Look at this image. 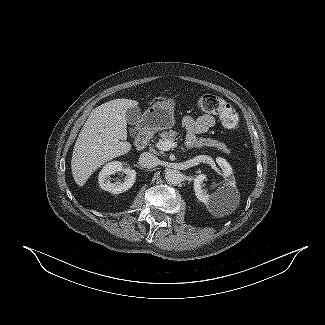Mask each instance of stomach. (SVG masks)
<instances>
[{"instance_id": "0dacf381", "label": "stomach", "mask_w": 325, "mask_h": 325, "mask_svg": "<svg viewBox=\"0 0 325 325\" xmlns=\"http://www.w3.org/2000/svg\"><path fill=\"white\" fill-rule=\"evenodd\" d=\"M174 99L168 98L155 102L142 118L144 125L152 130H164L174 125Z\"/></svg>"}]
</instances>
